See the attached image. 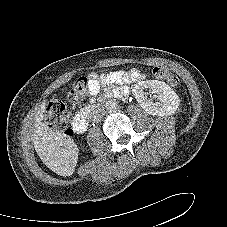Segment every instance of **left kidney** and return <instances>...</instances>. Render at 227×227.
<instances>
[{"instance_id": "left-kidney-1", "label": "left kidney", "mask_w": 227, "mask_h": 227, "mask_svg": "<svg viewBox=\"0 0 227 227\" xmlns=\"http://www.w3.org/2000/svg\"><path fill=\"white\" fill-rule=\"evenodd\" d=\"M146 89L155 93L159 102L154 103L151 99H148L144 91ZM132 91L139 105L148 114L154 116L172 115L177 111L180 104V99L175 91L162 81H140L134 85Z\"/></svg>"}]
</instances>
